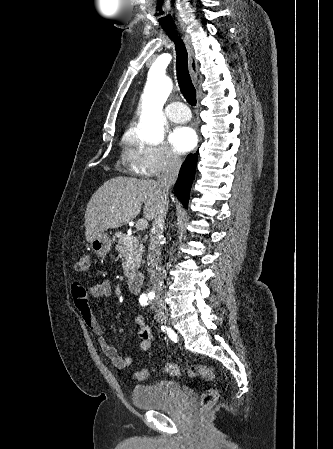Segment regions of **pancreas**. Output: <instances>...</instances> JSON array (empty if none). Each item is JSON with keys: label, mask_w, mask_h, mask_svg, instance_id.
Returning <instances> with one entry per match:
<instances>
[{"label": "pancreas", "mask_w": 333, "mask_h": 449, "mask_svg": "<svg viewBox=\"0 0 333 449\" xmlns=\"http://www.w3.org/2000/svg\"><path fill=\"white\" fill-rule=\"evenodd\" d=\"M116 250L122 255V267L126 277H131L140 266L143 254V245L139 243V237L128 236L118 232Z\"/></svg>", "instance_id": "obj_1"}]
</instances>
